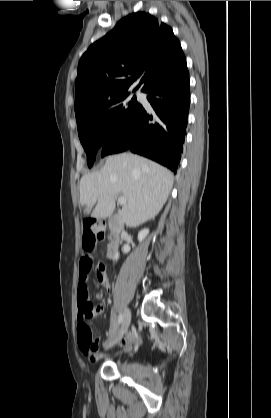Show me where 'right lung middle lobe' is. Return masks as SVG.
<instances>
[{
	"label": "right lung middle lobe",
	"mask_w": 271,
	"mask_h": 418,
	"mask_svg": "<svg viewBox=\"0 0 271 418\" xmlns=\"http://www.w3.org/2000/svg\"><path fill=\"white\" fill-rule=\"evenodd\" d=\"M128 93L120 94L88 112L77 115L80 141L87 154L88 166L95 161L97 151L115 129L124 124L141 107L134 96L126 100Z\"/></svg>",
	"instance_id": "1"
}]
</instances>
